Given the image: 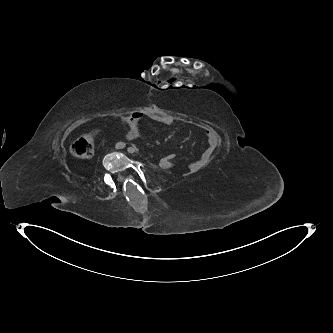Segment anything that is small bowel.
<instances>
[{
    "label": "small bowel",
    "mask_w": 333,
    "mask_h": 333,
    "mask_svg": "<svg viewBox=\"0 0 333 333\" xmlns=\"http://www.w3.org/2000/svg\"><path fill=\"white\" fill-rule=\"evenodd\" d=\"M145 118L163 125H170L173 123L172 116L168 114H160L154 111L133 113L132 115H129L122 119V123L126 129L125 137L127 139H132L141 136L140 124L141 121ZM206 137L209 140L211 138V132L207 131ZM212 152L213 148L211 144H209L208 148L202 153V155L198 159L190 161L188 163V168L192 171H197L203 168L209 163L212 156ZM159 164L160 167L163 169H171L175 165V158Z\"/></svg>",
    "instance_id": "c3829d8e"
}]
</instances>
